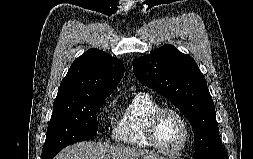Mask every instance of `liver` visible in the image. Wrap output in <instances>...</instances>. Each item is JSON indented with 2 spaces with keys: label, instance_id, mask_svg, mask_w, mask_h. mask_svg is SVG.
<instances>
[{
  "label": "liver",
  "instance_id": "obj_1",
  "mask_svg": "<svg viewBox=\"0 0 253 159\" xmlns=\"http://www.w3.org/2000/svg\"><path fill=\"white\" fill-rule=\"evenodd\" d=\"M54 159H167L148 150L128 146H109L83 141L70 145Z\"/></svg>",
  "mask_w": 253,
  "mask_h": 159
}]
</instances>
